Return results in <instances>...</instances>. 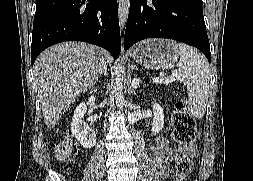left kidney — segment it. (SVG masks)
<instances>
[{
  "label": "left kidney",
  "mask_w": 253,
  "mask_h": 181,
  "mask_svg": "<svg viewBox=\"0 0 253 181\" xmlns=\"http://www.w3.org/2000/svg\"><path fill=\"white\" fill-rule=\"evenodd\" d=\"M152 110L154 118L152 122L151 132L153 136L159 133L164 127V112L163 108L157 103H154Z\"/></svg>",
  "instance_id": "5707ae66"
}]
</instances>
